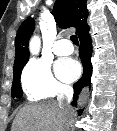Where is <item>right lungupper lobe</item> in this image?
<instances>
[{"label":"right lung upper lobe","mask_w":117,"mask_h":131,"mask_svg":"<svg viewBox=\"0 0 117 131\" xmlns=\"http://www.w3.org/2000/svg\"><path fill=\"white\" fill-rule=\"evenodd\" d=\"M54 17L61 28L76 27V34L83 35L89 31L87 24L88 10L86 0H56ZM35 28L33 18H27L19 27L15 39L14 74L25 66L29 58L28 41Z\"/></svg>","instance_id":"right-lung-upper-lobe-1"}]
</instances>
